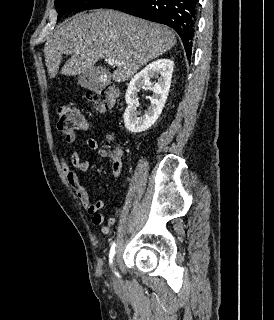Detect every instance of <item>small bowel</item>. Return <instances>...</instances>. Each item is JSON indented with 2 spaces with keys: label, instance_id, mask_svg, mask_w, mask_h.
I'll return each instance as SVG.
<instances>
[{
  "label": "small bowel",
  "instance_id": "obj_1",
  "mask_svg": "<svg viewBox=\"0 0 274 320\" xmlns=\"http://www.w3.org/2000/svg\"><path fill=\"white\" fill-rule=\"evenodd\" d=\"M90 119H80L79 129L84 131L86 126H90ZM77 139V133L71 132L65 135L62 150L60 154V165L63 175L65 176L68 184L74 190L83 209L91 216V222L94 225H104L105 217L100 213L104 207V202L101 200L91 202L88 190L82 185L76 170L85 172L90 168V161L81 159L79 153L72 148V145ZM85 145L92 151H95L101 158H110L111 170L113 177L119 182L120 187H123L121 182L122 171L125 165V155L122 148L117 147L112 151H108L101 147L98 141L94 138H87ZM67 151H70L69 161L65 157ZM120 211H117V215ZM111 226L115 222L114 219L108 221Z\"/></svg>",
  "mask_w": 274,
  "mask_h": 320
}]
</instances>
